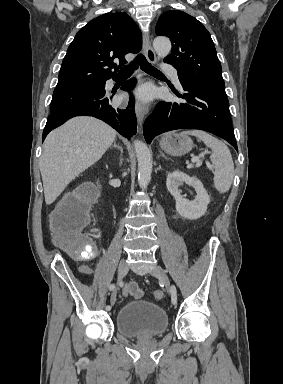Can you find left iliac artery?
<instances>
[{
	"label": "left iliac artery",
	"instance_id": "left-iliac-artery-1",
	"mask_svg": "<svg viewBox=\"0 0 283 384\" xmlns=\"http://www.w3.org/2000/svg\"><path fill=\"white\" fill-rule=\"evenodd\" d=\"M171 301L174 305L177 304V290L174 285L171 286Z\"/></svg>",
	"mask_w": 283,
	"mask_h": 384
}]
</instances>
